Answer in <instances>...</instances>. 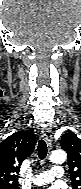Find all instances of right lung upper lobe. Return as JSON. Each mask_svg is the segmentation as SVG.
Here are the masks:
<instances>
[{"label": "right lung upper lobe", "mask_w": 81, "mask_h": 189, "mask_svg": "<svg viewBox=\"0 0 81 189\" xmlns=\"http://www.w3.org/2000/svg\"><path fill=\"white\" fill-rule=\"evenodd\" d=\"M36 144L31 130L18 131L0 143V187L17 185L19 167L30 156Z\"/></svg>", "instance_id": "cb5924a9"}]
</instances>
